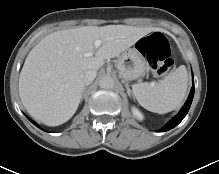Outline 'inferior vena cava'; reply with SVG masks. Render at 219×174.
Wrapping results in <instances>:
<instances>
[{"mask_svg":"<svg viewBox=\"0 0 219 174\" xmlns=\"http://www.w3.org/2000/svg\"><path fill=\"white\" fill-rule=\"evenodd\" d=\"M97 72L95 70H87L82 74V80L85 85H89L96 77Z\"/></svg>","mask_w":219,"mask_h":174,"instance_id":"602c4592","label":"inferior vena cava"}]
</instances>
